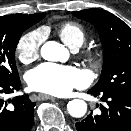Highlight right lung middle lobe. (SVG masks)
<instances>
[{"label":"right lung middle lobe","instance_id":"1","mask_svg":"<svg viewBox=\"0 0 131 131\" xmlns=\"http://www.w3.org/2000/svg\"><path fill=\"white\" fill-rule=\"evenodd\" d=\"M32 24H13L0 21V79L18 77L15 50L22 33Z\"/></svg>","mask_w":131,"mask_h":131}]
</instances>
